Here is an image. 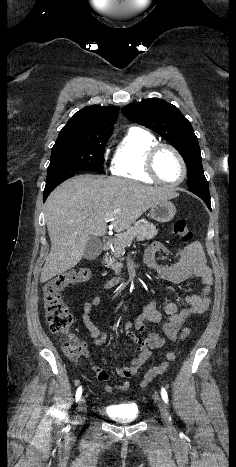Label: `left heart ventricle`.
<instances>
[{"label": "left heart ventricle", "mask_w": 236, "mask_h": 467, "mask_svg": "<svg viewBox=\"0 0 236 467\" xmlns=\"http://www.w3.org/2000/svg\"><path fill=\"white\" fill-rule=\"evenodd\" d=\"M156 167L158 174L166 182H176L182 176L181 164L170 150L164 149L159 153Z\"/></svg>", "instance_id": "b2bd125f"}]
</instances>
